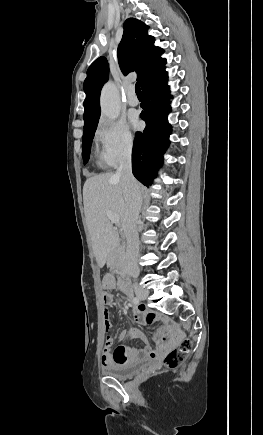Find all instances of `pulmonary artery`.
Listing matches in <instances>:
<instances>
[{
	"instance_id": "obj_1",
	"label": "pulmonary artery",
	"mask_w": 263,
	"mask_h": 435,
	"mask_svg": "<svg viewBox=\"0 0 263 435\" xmlns=\"http://www.w3.org/2000/svg\"><path fill=\"white\" fill-rule=\"evenodd\" d=\"M127 102L130 106H137L139 104V100L135 94L134 88L131 86L128 91Z\"/></svg>"
}]
</instances>
